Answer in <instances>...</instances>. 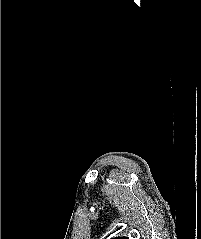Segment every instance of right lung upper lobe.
I'll return each mask as SVG.
<instances>
[{"label": "right lung upper lobe", "instance_id": "obj_1", "mask_svg": "<svg viewBox=\"0 0 201 239\" xmlns=\"http://www.w3.org/2000/svg\"><path fill=\"white\" fill-rule=\"evenodd\" d=\"M112 239H128V237H116V238H112Z\"/></svg>", "mask_w": 201, "mask_h": 239}]
</instances>
